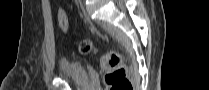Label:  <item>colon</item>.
Listing matches in <instances>:
<instances>
[{"instance_id":"5ec220e1","label":"colon","mask_w":209,"mask_h":90,"mask_svg":"<svg viewBox=\"0 0 209 90\" xmlns=\"http://www.w3.org/2000/svg\"><path fill=\"white\" fill-rule=\"evenodd\" d=\"M58 25L63 32L69 29V19L66 11L60 8L57 13ZM82 54L95 53L97 47L89 40L79 46ZM100 67L105 74V84L108 90H133V85L127 75L123 57L115 51H107L100 58Z\"/></svg>"}]
</instances>
